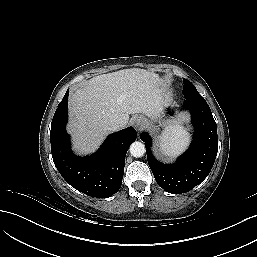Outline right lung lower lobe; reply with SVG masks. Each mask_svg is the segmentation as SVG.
<instances>
[{"mask_svg":"<svg viewBox=\"0 0 257 257\" xmlns=\"http://www.w3.org/2000/svg\"><path fill=\"white\" fill-rule=\"evenodd\" d=\"M69 90L54 114L51 131V152L61 176L78 191L99 198H107L118 192L122 185L125 156L136 131L129 127L109 135L101 148L93 155L78 157L70 148L66 133Z\"/></svg>","mask_w":257,"mask_h":257,"instance_id":"98d812e1","label":"right lung lower lobe"}]
</instances>
